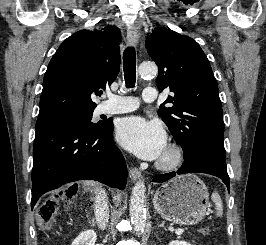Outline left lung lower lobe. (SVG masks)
I'll return each instance as SVG.
<instances>
[{
    "mask_svg": "<svg viewBox=\"0 0 266 245\" xmlns=\"http://www.w3.org/2000/svg\"><path fill=\"white\" fill-rule=\"evenodd\" d=\"M206 173L223 180L228 190L230 187L229 176L226 168V155L224 145L213 140H201L196 145L195 151L184 158L183 165L177 172L156 175L153 182H165L177 174Z\"/></svg>",
    "mask_w": 266,
    "mask_h": 245,
    "instance_id": "obj_1",
    "label": "left lung lower lobe"
}]
</instances>
